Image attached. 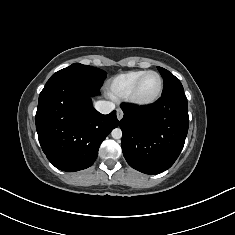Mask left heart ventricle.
<instances>
[{
	"mask_svg": "<svg viewBox=\"0 0 235 235\" xmlns=\"http://www.w3.org/2000/svg\"><path fill=\"white\" fill-rule=\"evenodd\" d=\"M159 89V79L155 74H148L140 83L137 90V97L150 99L156 95Z\"/></svg>",
	"mask_w": 235,
	"mask_h": 235,
	"instance_id": "left-heart-ventricle-1",
	"label": "left heart ventricle"
}]
</instances>
